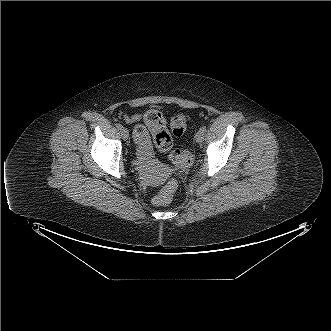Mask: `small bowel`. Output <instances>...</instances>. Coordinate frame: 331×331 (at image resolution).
<instances>
[{"instance_id":"c3829d8e","label":"small bowel","mask_w":331,"mask_h":331,"mask_svg":"<svg viewBox=\"0 0 331 331\" xmlns=\"http://www.w3.org/2000/svg\"><path fill=\"white\" fill-rule=\"evenodd\" d=\"M142 119L140 114H133L131 116H125V120L128 123H135ZM139 126V125H138ZM134 140L138 145V156L142 161H148L153 155V150L151 143L149 141V136L147 134L145 139H141L134 131L133 133Z\"/></svg>"}]
</instances>
